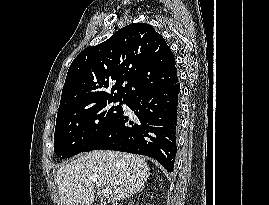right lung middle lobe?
Segmentation results:
<instances>
[{
    "label": "right lung middle lobe",
    "instance_id": "1",
    "mask_svg": "<svg viewBox=\"0 0 269 205\" xmlns=\"http://www.w3.org/2000/svg\"><path fill=\"white\" fill-rule=\"evenodd\" d=\"M108 100L56 120L54 151L69 158L84 151L112 122L123 113L122 102L114 106ZM127 102H125L126 104Z\"/></svg>",
    "mask_w": 269,
    "mask_h": 205
}]
</instances>
